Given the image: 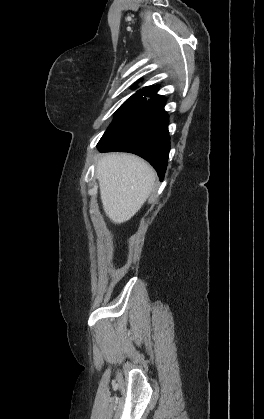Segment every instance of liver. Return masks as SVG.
<instances>
[{
    "mask_svg": "<svg viewBox=\"0 0 264 419\" xmlns=\"http://www.w3.org/2000/svg\"><path fill=\"white\" fill-rule=\"evenodd\" d=\"M105 214L120 224L133 217L145 203L155 182V171L132 154H103L96 167Z\"/></svg>",
    "mask_w": 264,
    "mask_h": 419,
    "instance_id": "1",
    "label": "liver"
}]
</instances>
